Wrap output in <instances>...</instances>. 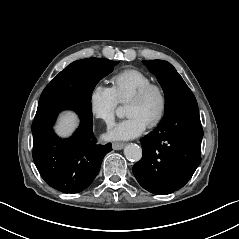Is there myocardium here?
Instances as JSON below:
<instances>
[{
	"mask_svg": "<svg viewBox=\"0 0 239 239\" xmlns=\"http://www.w3.org/2000/svg\"><path fill=\"white\" fill-rule=\"evenodd\" d=\"M151 92H157L161 100V106L158 114L148 125L149 128H155L164 120L169 106L168 93L162 84L151 82L141 87L129 98L128 103L140 102L144 100Z\"/></svg>",
	"mask_w": 239,
	"mask_h": 239,
	"instance_id": "myocardium-1",
	"label": "myocardium"
}]
</instances>
